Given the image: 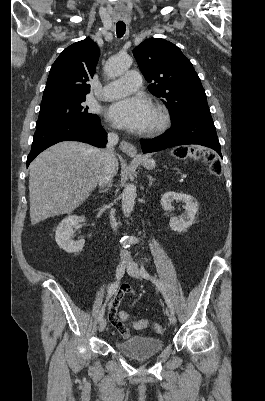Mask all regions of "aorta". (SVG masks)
Listing matches in <instances>:
<instances>
[{
	"label": "aorta",
	"mask_w": 265,
	"mask_h": 401,
	"mask_svg": "<svg viewBox=\"0 0 265 401\" xmlns=\"http://www.w3.org/2000/svg\"><path fill=\"white\" fill-rule=\"evenodd\" d=\"M132 64L131 56H125L124 60H118V58H108L105 62L104 70L107 76L115 78L120 76L122 72L128 70ZM137 196L135 184H126L122 192V211L125 217H129L132 213L135 205V198Z\"/></svg>",
	"instance_id": "1"
}]
</instances>
